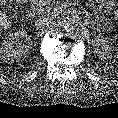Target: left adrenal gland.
Wrapping results in <instances>:
<instances>
[{
    "label": "left adrenal gland",
    "mask_w": 118,
    "mask_h": 118,
    "mask_svg": "<svg viewBox=\"0 0 118 118\" xmlns=\"http://www.w3.org/2000/svg\"><path fill=\"white\" fill-rule=\"evenodd\" d=\"M91 24H92V28H93L94 30H96V28H95V26H94L95 24L92 23V22H91Z\"/></svg>",
    "instance_id": "1"
}]
</instances>
